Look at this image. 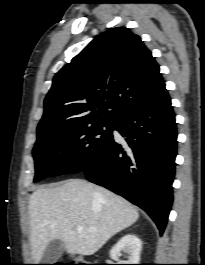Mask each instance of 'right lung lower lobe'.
Returning a JSON list of instances; mask_svg holds the SVG:
<instances>
[{
  "mask_svg": "<svg viewBox=\"0 0 205 265\" xmlns=\"http://www.w3.org/2000/svg\"><path fill=\"white\" fill-rule=\"evenodd\" d=\"M113 137L83 170L86 178L145 210L164 232L173 195L177 130L165 89L147 106L115 122Z\"/></svg>",
  "mask_w": 205,
  "mask_h": 265,
  "instance_id": "1",
  "label": "right lung lower lobe"
}]
</instances>
